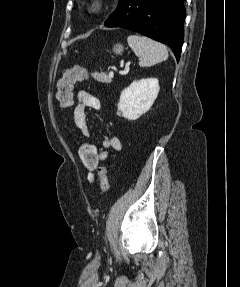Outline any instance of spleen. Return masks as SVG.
Segmentation results:
<instances>
[{"label":"spleen","instance_id":"obj_1","mask_svg":"<svg viewBox=\"0 0 240 287\" xmlns=\"http://www.w3.org/2000/svg\"><path fill=\"white\" fill-rule=\"evenodd\" d=\"M128 45L140 57L141 67H150L168 58L166 46L153 39L141 35H129Z\"/></svg>","mask_w":240,"mask_h":287}]
</instances>
